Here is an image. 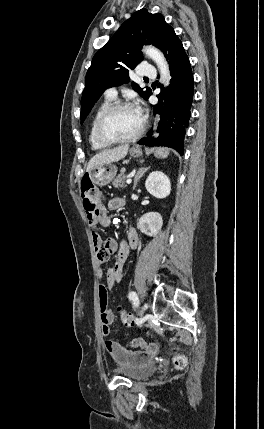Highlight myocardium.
I'll return each instance as SVG.
<instances>
[{"label": "myocardium", "instance_id": "myocardium-1", "mask_svg": "<svg viewBox=\"0 0 264 429\" xmlns=\"http://www.w3.org/2000/svg\"><path fill=\"white\" fill-rule=\"evenodd\" d=\"M123 108H134L133 104L127 101H118L112 103L98 118L95 126V135L99 142L105 144L107 146L114 144H123L129 143L137 140L145 130L146 120L143 116H141V124L138 130L131 136L122 139H110L106 137L103 133V126L106 120L116 111Z\"/></svg>", "mask_w": 264, "mask_h": 429}]
</instances>
